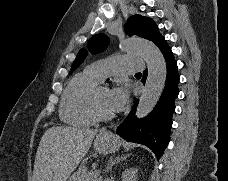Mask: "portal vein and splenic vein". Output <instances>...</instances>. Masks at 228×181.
Masks as SVG:
<instances>
[{
	"instance_id": "portal-vein-and-splenic-vein-1",
	"label": "portal vein and splenic vein",
	"mask_w": 228,
	"mask_h": 181,
	"mask_svg": "<svg viewBox=\"0 0 228 181\" xmlns=\"http://www.w3.org/2000/svg\"><path fill=\"white\" fill-rule=\"evenodd\" d=\"M97 173H98V174H101V173H102V170H101V169H98V170H97Z\"/></svg>"
}]
</instances>
